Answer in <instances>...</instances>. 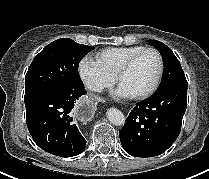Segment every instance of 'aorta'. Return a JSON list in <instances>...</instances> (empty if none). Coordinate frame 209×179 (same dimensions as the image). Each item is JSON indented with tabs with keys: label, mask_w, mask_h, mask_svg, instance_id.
Segmentation results:
<instances>
[{
	"label": "aorta",
	"mask_w": 209,
	"mask_h": 179,
	"mask_svg": "<svg viewBox=\"0 0 209 179\" xmlns=\"http://www.w3.org/2000/svg\"><path fill=\"white\" fill-rule=\"evenodd\" d=\"M107 118L113 125H116V126H121L125 123L124 114L116 108L108 109Z\"/></svg>",
	"instance_id": "aorta-1"
}]
</instances>
